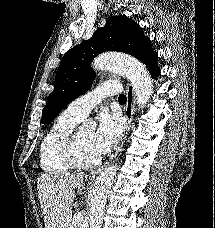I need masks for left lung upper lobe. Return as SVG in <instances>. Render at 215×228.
<instances>
[{"label":"left lung upper lobe","instance_id":"5c2ea615","mask_svg":"<svg viewBox=\"0 0 215 228\" xmlns=\"http://www.w3.org/2000/svg\"><path fill=\"white\" fill-rule=\"evenodd\" d=\"M105 51L128 53L144 64L156 53L137 23L126 16L109 18L89 40L65 53L56 72L54 90L43 110V124L50 123L67 104L91 88L95 78L91 61Z\"/></svg>","mask_w":215,"mask_h":228}]
</instances>
